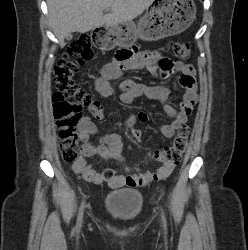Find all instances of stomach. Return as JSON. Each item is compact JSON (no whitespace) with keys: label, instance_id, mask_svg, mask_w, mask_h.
<instances>
[{"label":"stomach","instance_id":"obj_1","mask_svg":"<svg viewBox=\"0 0 248 250\" xmlns=\"http://www.w3.org/2000/svg\"><path fill=\"white\" fill-rule=\"evenodd\" d=\"M196 18L193 0H155V4L134 23L124 22L105 27L103 49L126 48L138 39L157 41L186 30Z\"/></svg>","mask_w":248,"mask_h":250}]
</instances>
